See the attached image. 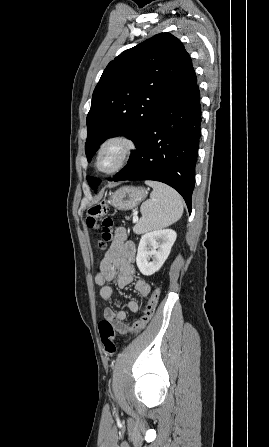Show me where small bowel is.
Instances as JSON below:
<instances>
[{"instance_id":"obj_1","label":"small bowel","mask_w":269,"mask_h":447,"mask_svg":"<svg viewBox=\"0 0 269 447\" xmlns=\"http://www.w3.org/2000/svg\"><path fill=\"white\" fill-rule=\"evenodd\" d=\"M126 237L125 229L118 228L115 239L101 261L99 271L96 274L95 282L101 287L100 296L104 300L113 297V289L109 285L111 282H114L118 288L123 289L134 280L135 269L133 264L136 249L134 244L128 241ZM134 289L138 295L143 297L151 291L149 283L142 279L134 281ZM127 308L131 312H137L138 302L129 300ZM126 316L127 313L124 310L114 311L111 308H106L103 311L104 319L112 321V327L120 333H125L128 329L124 323Z\"/></svg>"}]
</instances>
